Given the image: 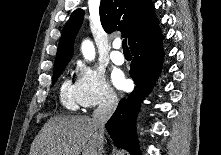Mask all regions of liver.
Returning <instances> with one entry per match:
<instances>
[{
    "mask_svg": "<svg viewBox=\"0 0 221 155\" xmlns=\"http://www.w3.org/2000/svg\"><path fill=\"white\" fill-rule=\"evenodd\" d=\"M98 155L97 127L88 116L51 117L35 137L29 155Z\"/></svg>",
    "mask_w": 221,
    "mask_h": 155,
    "instance_id": "liver-1",
    "label": "liver"
}]
</instances>
